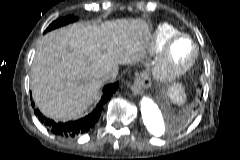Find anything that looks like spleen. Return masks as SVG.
<instances>
[{"label": "spleen", "instance_id": "obj_1", "mask_svg": "<svg viewBox=\"0 0 240 160\" xmlns=\"http://www.w3.org/2000/svg\"><path fill=\"white\" fill-rule=\"evenodd\" d=\"M169 95H170V98L173 100V102L177 104H183L186 98L185 93L183 92V89L179 84H174L170 88Z\"/></svg>", "mask_w": 240, "mask_h": 160}]
</instances>
